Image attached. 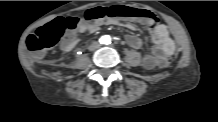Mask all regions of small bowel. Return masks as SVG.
<instances>
[{"label":"small bowel","instance_id":"small-bowel-1","mask_svg":"<svg viewBox=\"0 0 218 122\" xmlns=\"http://www.w3.org/2000/svg\"><path fill=\"white\" fill-rule=\"evenodd\" d=\"M124 7V6H123ZM128 9H137L132 7H125ZM146 22L144 19L135 18L131 16L111 17L104 21L105 24H114L127 28L129 30H136L135 22ZM101 23L89 22L86 19L79 21L74 30L68 32L62 40L61 49L64 52H70L75 48L80 40L81 34L94 33L100 29ZM152 37L154 41V48L151 54H146L143 57L144 67L150 69L159 65L161 59H165L166 55H170L174 51V42L169 36L168 29L165 25H157L152 30ZM126 43L135 49L142 46V41L139 37L128 34L125 36Z\"/></svg>","mask_w":218,"mask_h":122}]
</instances>
